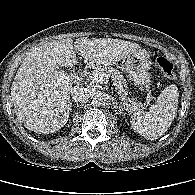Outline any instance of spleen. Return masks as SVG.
Returning <instances> with one entry per match:
<instances>
[{"instance_id": "spleen-1", "label": "spleen", "mask_w": 195, "mask_h": 195, "mask_svg": "<svg viewBox=\"0 0 195 195\" xmlns=\"http://www.w3.org/2000/svg\"><path fill=\"white\" fill-rule=\"evenodd\" d=\"M179 91L174 84L167 86L150 111L139 110L131 120V127L146 139L161 137L171 126L178 107Z\"/></svg>"}]
</instances>
